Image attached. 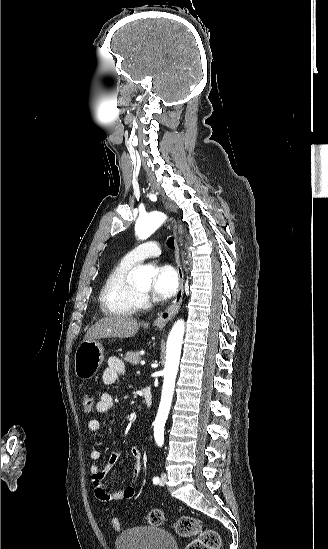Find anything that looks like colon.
Masks as SVG:
<instances>
[{
  "mask_svg": "<svg viewBox=\"0 0 328 549\" xmlns=\"http://www.w3.org/2000/svg\"><path fill=\"white\" fill-rule=\"evenodd\" d=\"M83 409L90 413L95 408V398L90 393L82 397ZM147 522L152 526H160L164 522V514L159 509L150 510L146 516ZM112 527L119 531L121 523L119 519L112 518ZM175 532L183 538H191L185 549H219L221 540L217 531L204 528L199 520L191 516H181L173 523Z\"/></svg>",
  "mask_w": 328,
  "mask_h": 549,
  "instance_id": "colon-1",
  "label": "colon"
}]
</instances>
